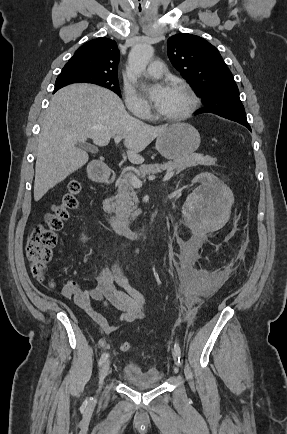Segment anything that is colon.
<instances>
[{
  "mask_svg": "<svg viewBox=\"0 0 287 434\" xmlns=\"http://www.w3.org/2000/svg\"><path fill=\"white\" fill-rule=\"evenodd\" d=\"M81 194L82 184L80 181L71 180L58 203L51 207V210L45 215L44 221L37 224L30 234L26 252L31 274L49 287L54 286V281L48 272V265L53 258V249L58 241V233L64 228L72 213L78 209ZM130 347V343L125 342L121 344L120 349L126 352Z\"/></svg>",
  "mask_w": 287,
  "mask_h": 434,
  "instance_id": "colon-1",
  "label": "colon"
}]
</instances>
